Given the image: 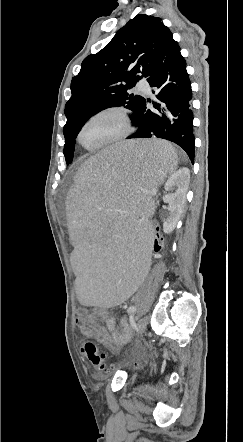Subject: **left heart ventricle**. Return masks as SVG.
<instances>
[{
  "label": "left heart ventricle",
  "mask_w": 243,
  "mask_h": 442,
  "mask_svg": "<svg viewBox=\"0 0 243 442\" xmlns=\"http://www.w3.org/2000/svg\"><path fill=\"white\" fill-rule=\"evenodd\" d=\"M122 129V120L117 115H103L84 127L81 140L87 146H94L118 135Z\"/></svg>",
  "instance_id": "b2bd125f"
}]
</instances>
